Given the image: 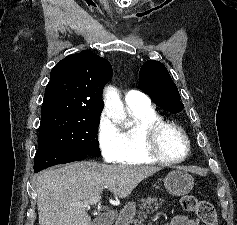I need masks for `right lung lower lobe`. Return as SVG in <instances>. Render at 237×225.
Listing matches in <instances>:
<instances>
[{
  "label": "right lung lower lobe",
  "instance_id": "1",
  "mask_svg": "<svg viewBox=\"0 0 237 225\" xmlns=\"http://www.w3.org/2000/svg\"><path fill=\"white\" fill-rule=\"evenodd\" d=\"M87 157L88 155L86 154L71 150L38 147L34 158V172L37 173L45 168L57 164L83 160Z\"/></svg>",
  "mask_w": 237,
  "mask_h": 225
}]
</instances>
